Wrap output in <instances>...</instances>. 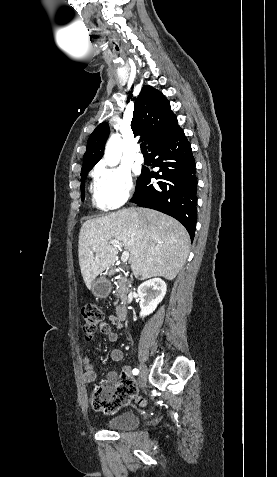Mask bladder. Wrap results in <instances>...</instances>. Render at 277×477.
<instances>
[{"instance_id":"obj_1","label":"bladder","mask_w":277,"mask_h":477,"mask_svg":"<svg viewBox=\"0 0 277 477\" xmlns=\"http://www.w3.org/2000/svg\"><path fill=\"white\" fill-rule=\"evenodd\" d=\"M140 419L137 414L132 412L122 413L106 423V427L110 430H130L139 425Z\"/></svg>"}]
</instances>
